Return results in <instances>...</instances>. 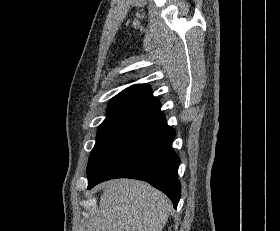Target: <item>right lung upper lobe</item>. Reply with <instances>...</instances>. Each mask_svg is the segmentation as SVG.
<instances>
[{
  "mask_svg": "<svg viewBox=\"0 0 280 231\" xmlns=\"http://www.w3.org/2000/svg\"><path fill=\"white\" fill-rule=\"evenodd\" d=\"M160 107L159 100L152 96L147 84H135L109 101L105 120L128 121L138 125L163 115Z\"/></svg>",
  "mask_w": 280,
  "mask_h": 231,
  "instance_id": "cb5924a9",
  "label": "right lung upper lobe"
}]
</instances>
